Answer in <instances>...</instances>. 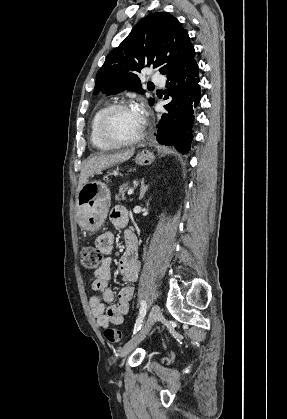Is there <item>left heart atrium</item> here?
<instances>
[{
  "label": "left heart atrium",
  "mask_w": 287,
  "mask_h": 419,
  "mask_svg": "<svg viewBox=\"0 0 287 419\" xmlns=\"http://www.w3.org/2000/svg\"><path fill=\"white\" fill-rule=\"evenodd\" d=\"M134 111L136 114L143 120L144 119V109L142 105L138 104L135 106Z\"/></svg>",
  "instance_id": "1"
}]
</instances>
